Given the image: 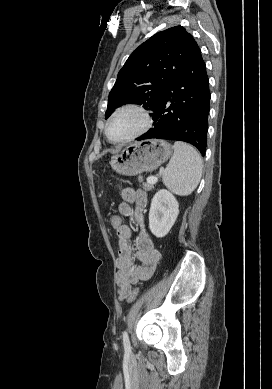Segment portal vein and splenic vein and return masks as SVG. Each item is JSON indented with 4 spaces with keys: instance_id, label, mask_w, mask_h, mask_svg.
Masks as SVG:
<instances>
[{
    "instance_id": "obj_1",
    "label": "portal vein and splenic vein",
    "mask_w": 272,
    "mask_h": 389,
    "mask_svg": "<svg viewBox=\"0 0 272 389\" xmlns=\"http://www.w3.org/2000/svg\"><path fill=\"white\" fill-rule=\"evenodd\" d=\"M157 181H158V178L155 176L148 178L149 183L155 184Z\"/></svg>"
}]
</instances>
